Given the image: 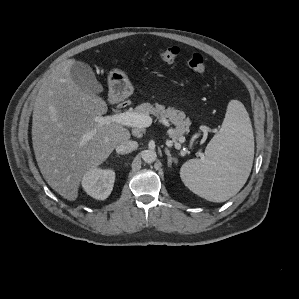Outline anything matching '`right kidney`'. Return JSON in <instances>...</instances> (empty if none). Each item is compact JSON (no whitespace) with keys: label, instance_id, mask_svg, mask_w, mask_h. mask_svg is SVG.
<instances>
[{"label":"right kidney","instance_id":"obj_1","mask_svg":"<svg viewBox=\"0 0 299 299\" xmlns=\"http://www.w3.org/2000/svg\"><path fill=\"white\" fill-rule=\"evenodd\" d=\"M115 172L111 169L92 168L82 178V186L88 195L95 199L104 200L114 186Z\"/></svg>","mask_w":299,"mask_h":299}]
</instances>
